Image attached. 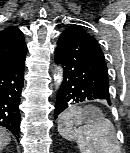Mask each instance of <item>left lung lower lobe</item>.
Instances as JSON below:
<instances>
[{
    "instance_id": "left-lung-lower-lobe-1",
    "label": "left lung lower lobe",
    "mask_w": 130,
    "mask_h": 153,
    "mask_svg": "<svg viewBox=\"0 0 130 153\" xmlns=\"http://www.w3.org/2000/svg\"><path fill=\"white\" fill-rule=\"evenodd\" d=\"M64 80L57 93L54 118L71 104L103 99L110 105L108 71L97 41L79 31H64L55 50Z\"/></svg>"
}]
</instances>
